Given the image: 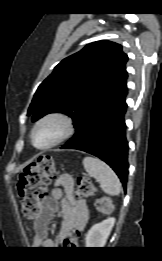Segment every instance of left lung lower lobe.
Returning a JSON list of instances; mask_svg holds the SVG:
<instances>
[{
  "instance_id": "1",
  "label": "left lung lower lobe",
  "mask_w": 162,
  "mask_h": 261,
  "mask_svg": "<svg viewBox=\"0 0 162 261\" xmlns=\"http://www.w3.org/2000/svg\"><path fill=\"white\" fill-rule=\"evenodd\" d=\"M127 93L125 86L97 109L61 147L81 150L102 159L116 172L125 190L129 168L125 124Z\"/></svg>"
}]
</instances>
